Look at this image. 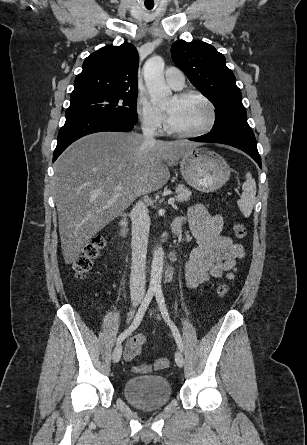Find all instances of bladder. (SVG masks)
I'll use <instances>...</instances> for the list:
<instances>
[{
	"mask_svg": "<svg viewBox=\"0 0 307 445\" xmlns=\"http://www.w3.org/2000/svg\"><path fill=\"white\" fill-rule=\"evenodd\" d=\"M123 394L133 406L143 410H155L169 403L172 388L169 381L161 375H142L126 380Z\"/></svg>",
	"mask_w": 307,
	"mask_h": 445,
	"instance_id": "31cf9c89",
	"label": "bladder"
}]
</instances>
